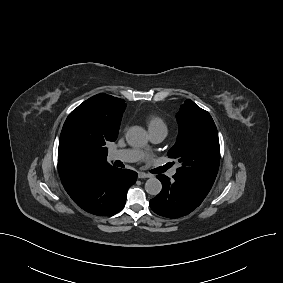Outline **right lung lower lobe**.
Masks as SVG:
<instances>
[{"label":"right lung lower lobe","mask_w":283,"mask_h":283,"mask_svg":"<svg viewBox=\"0 0 283 283\" xmlns=\"http://www.w3.org/2000/svg\"><path fill=\"white\" fill-rule=\"evenodd\" d=\"M136 179L137 173L132 170L105 164L76 177L64 188L80 208L105 216L123 209L127 190Z\"/></svg>","instance_id":"obj_1"}]
</instances>
